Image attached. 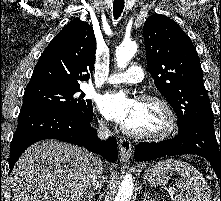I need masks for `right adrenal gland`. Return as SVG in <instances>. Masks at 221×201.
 <instances>
[{
    "label": "right adrenal gland",
    "mask_w": 221,
    "mask_h": 201,
    "mask_svg": "<svg viewBox=\"0 0 221 201\" xmlns=\"http://www.w3.org/2000/svg\"><path fill=\"white\" fill-rule=\"evenodd\" d=\"M95 196V193H93L92 191L91 192H88V194H86L81 201H85V199H88V201H92L93 197Z\"/></svg>",
    "instance_id": "obj_1"
}]
</instances>
